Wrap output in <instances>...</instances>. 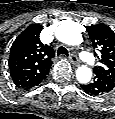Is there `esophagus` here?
<instances>
[{
    "label": "esophagus",
    "mask_w": 115,
    "mask_h": 119,
    "mask_svg": "<svg viewBox=\"0 0 115 119\" xmlns=\"http://www.w3.org/2000/svg\"><path fill=\"white\" fill-rule=\"evenodd\" d=\"M71 63L75 66H78L79 65V60H78V57L75 55V54H70V57H69Z\"/></svg>",
    "instance_id": "obj_1"
}]
</instances>
